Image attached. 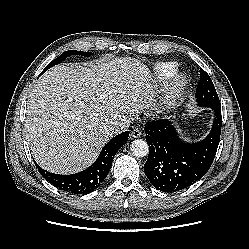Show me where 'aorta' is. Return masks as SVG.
<instances>
[{"label":"aorta","instance_id":"1","mask_svg":"<svg viewBox=\"0 0 249 249\" xmlns=\"http://www.w3.org/2000/svg\"><path fill=\"white\" fill-rule=\"evenodd\" d=\"M130 150L136 157H145L149 152V146L145 140L136 139L132 141Z\"/></svg>","mask_w":249,"mask_h":249}]
</instances>
